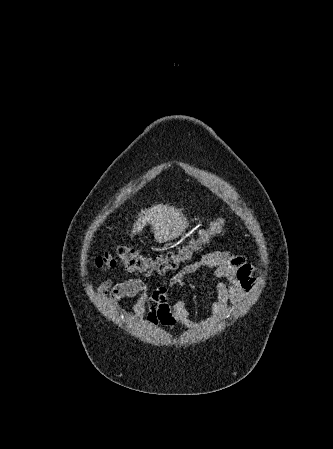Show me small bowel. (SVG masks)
Listing matches in <instances>:
<instances>
[{
    "label": "small bowel",
    "mask_w": 333,
    "mask_h": 449,
    "mask_svg": "<svg viewBox=\"0 0 333 449\" xmlns=\"http://www.w3.org/2000/svg\"><path fill=\"white\" fill-rule=\"evenodd\" d=\"M202 269L213 271L216 296L212 300L211 309L218 316L227 314L229 300L237 304L243 303L246 293L250 292L256 283V269L245 257L214 251L187 265L171 277L167 286H160L151 293L140 279H129L116 284L105 280L99 285L98 292L113 308H117L119 300L137 296L133 312L138 320L146 321L150 325H161L169 329L179 326L189 328L192 321L185 301L179 298L172 303L169 292L172 288H182L187 275Z\"/></svg>",
    "instance_id": "small-bowel-1"
}]
</instances>
